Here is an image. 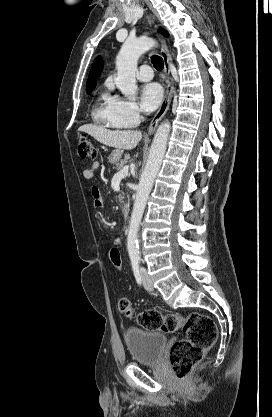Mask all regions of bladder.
<instances>
[{
	"label": "bladder",
	"mask_w": 272,
	"mask_h": 417,
	"mask_svg": "<svg viewBox=\"0 0 272 417\" xmlns=\"http://www.w3.org/2000/svg\"><path fill=\"white\" fill-rule=\"evenodd\" d=\"M124 342L132 359L140 364H157L167 342L164 334L131 327L124 332Z\"/></svg>",
	"instance_id": "obj_1"
}]
</instances>
